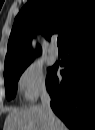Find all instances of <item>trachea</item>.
I'll return each instance as SVG.
<instances>
[{
  "instance_id": "1",
  "label": "trachea",
  "mask_w": 95,
  "mask_h": 130,
  "mask_svg": "<svg viewBox=\"0 0 95 130\" xmlns=\"http://www.w3.org/2000/svg\"><path fill=\"white\" fill-rule=\"evenodd\" d=\"M57 45H58V47H62V42H61L60 37H58V39H57Z\"/></svg>"
}]
</instances>
